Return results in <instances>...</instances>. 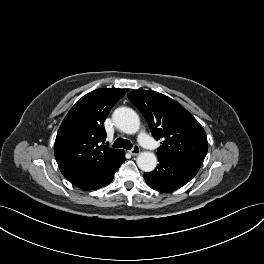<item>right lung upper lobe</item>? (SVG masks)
<instances>
[{
  "label": "right lung upper lobe",
  "mask_w": 264,
  "mask_h": 264,
  "mask_svg": "<svg viewBox=\"0 0 264 264\" xmlns=\"http://www.w3.org/2000/svg\"><path fill=\"white\" fill-rule=\"evenodd\" d=\"M121 89H97L71 108L55 140L58 166L70 182L96 170L121 150L105 144L104 121L114 104L124 96Z\"/></svg>",
  "instance_id": "obj_1"
}]
</instances>
